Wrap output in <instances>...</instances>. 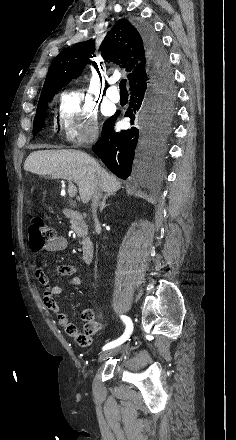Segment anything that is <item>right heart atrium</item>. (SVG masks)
Masks as SVG:
<instances>
[{
  "mask_svg": "<svg viewBox=\"0 0 236 440\" xmlns=\"http://www.w3.org/2000/svg\"><path fill=\"white\" fill-rule=\"evenodd\" d=\"M57 118L64 138L75 145L91 143L99 135L96 108L79 89L60 92Z\"/></svg>",
  "mask_w": 236,
  "mask_h": 440,
  "instance_id": "right-heart-atrium-1",
  "label": "right heart atrium"
}]
</instances>
